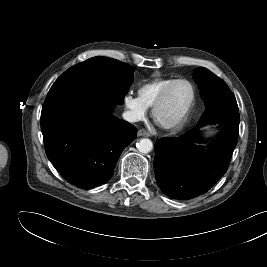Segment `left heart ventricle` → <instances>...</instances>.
Returning a JSON list of instances; mask_svg holds the SVG:
<instances>
[{"mask_svg": "<svg viewBox=\"0 0 267 267\" xmlns=\"http://www.w3.org/2000/svg\"><path fill=\"white\" fill-rule=\"evenodd\" d=\"M192 98L191 87L186 83L176 85L166 101L157 111V120L160 123H170L178 119Z\"/></svg>", "mask_w": 267, "mask_h": 267, "instance_id": "obj_1", "label": "left heart ventricle"}]
</instances>
